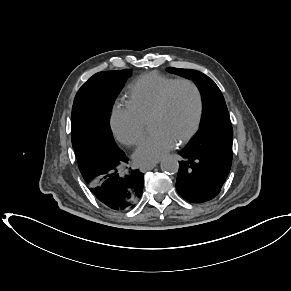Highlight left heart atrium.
Segmentation results:
<instances>
[{
  "instance_id": "1",
  "label": "left heart atrium",
  "mask_w": 291,
  "mask_h": 291,
  "mask_svg": "<svg viewBox=\"0 0 291 291\" xmlns=\"http://www.w3.org/2000/svg\"><path fill=\"white\" fill-rule=\"evenodd\" d=\"M177 140L166 132H156L145 138L134 152L138 164L147 165L158 162L172 150Z\"/></svg>"
}]
</instances>
